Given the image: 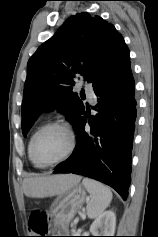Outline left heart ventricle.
<instances>
[{"instance_id": "obj_1", "label": "left heart ventricle", "mask_w": 158, "mask_h": 237, "mask_svg": "<svg viewBox=\"0 0 158 237\" xmlns=\"http://www.w3.org/2000/svg\"><path fill=\"white\" fill-rule=\"evenodd\" d=\"M69 146V137L62 128L42 132L35 143V155L41 162H50L63 156Z\"/></svg>"}]
</instances>
